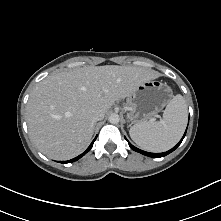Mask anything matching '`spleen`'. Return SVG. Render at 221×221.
<instances>
[{
  "mask_svg": "<svg viewBox=\"0 0 221 221\" xmlns=\"http://www.w3.org/2000/svg\"><path fill=\"white\" fill-rule=\"evenodd\" d=\"M187 105L182 95L174 96L167 104L160 121H143L130 128L131 139L142 149L164 152L182 137L187 125Z\"/></svg>",
  "mask_w": 221,
  "mask_h": 221,
  "instance_id": "obj_1",
  "label": "spleen"
}]
</instances>
